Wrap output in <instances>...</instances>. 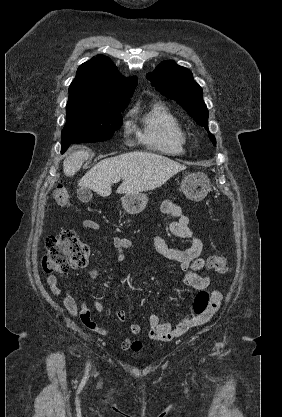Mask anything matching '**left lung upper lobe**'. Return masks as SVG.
<instances>
[{"instance_id": "5c2ea615", "label": "left lung upper lobe", "mask_w": 282, "mask_h": 417, "mask_svg": "<svg viewBox=\"0 0 282 417\" xmlns=\"http://www.w3.org/2000/svg\"><path fill=\"white\" fill-rule=\"evenodd\" d=\"M147 79L163 95L177 101L199 125L208 130V110L203 101V92L190 70L176 65L174 61H164L154 73L147 74ZM209 138L216 145L215 137L210 133Z\"/></svg>"}]
</instances>
